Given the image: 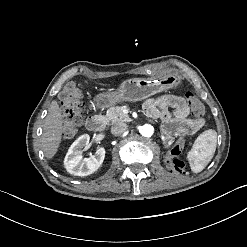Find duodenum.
Returning <instances> with one entry per match:
<instances>
[{"label": "duodenum", "instance_id": "1", "mask_svg": "<svg viewBox=\"0 0 247 247\" xmlns=\"http://www.w3.org/2000/svg\"><path fill=\"white\" fill-rule=\"evenodd\" d=\"M86 127L91 131L101 132L105 129L106 122L103 116L95 115L87 119Z\"/></svg>", "mask_w": 247, "mask_h": 247}]
</instances>
